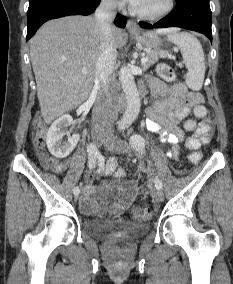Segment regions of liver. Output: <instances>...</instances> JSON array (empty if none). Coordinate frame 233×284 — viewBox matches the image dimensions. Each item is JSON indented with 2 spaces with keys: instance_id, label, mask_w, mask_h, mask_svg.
Segmentation results:
<instances>
[{
  "instance_id": "1",
  "label": "liver",
  "mask_w": 233,
  "mask_h": 284,
  "mask_svg": "<svg viewBox=\"0 0 233 284\" xmlns=\"http://www.w3.org/2000/svg\"><path fill=\"white\" fill-rule=\"evenodd\" d=\"M113 35L116 48L121 49L125 33L113 27ZM99 53L100 29L94 17L67 16L48 21L38 30L31 40L30 58L45 123L89 97Z\"/></svg>"
}]
</instances>
